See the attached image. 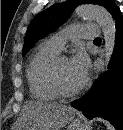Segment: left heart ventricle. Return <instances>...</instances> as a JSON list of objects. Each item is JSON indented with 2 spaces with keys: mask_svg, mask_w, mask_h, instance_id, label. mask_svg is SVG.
<instances>
[{
  "mask_svg": "<svg viewBox=\"0 0 123 130\" xmlns=\"http://www.w3.org/2000/svg\"><path fill=\"white\" fill-rule=\"evenodd\" d=\"M57 71L60 81L65 88L72 90L82 85L72 74L68 60L61 59L58 62Z\"/></svg>",
  "mask_w": 123,
  "mask_h": 130,
  "instance_id": "left-heart-ventricle-1",
  "label": "left heart ventricle"
}]
</instances>
